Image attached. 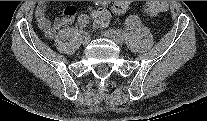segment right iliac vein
Returning a JSON list of instances; mask_svg holds the SVG:
<instances>
[{"mask_svg": "<svg viewBox=\"0 0 207 121\" xmlns=\"http://www.w3.org/2000/svg\"><path fill=\"white\" fill-rule=\"evenodd\" d=\"M81 42L83 45H88L90 42V35L88 33L83 34Z\"/></svg>", "mask_w": 207, "mask_h": 121, "instance_id": "1", "label": "right iliac vein"}]
</instances>
